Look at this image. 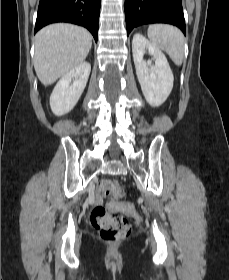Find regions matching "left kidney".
Here are the masks:
<instances>
[{"instance_id":"obj_1","label":"left kidney","mask_w":229,"mask_h":280,"mask_svg":"<svg viewBox=\"0 0 229 280\" xmlns=\"http://www.w3.org/2000/svg\"><path fill=\"white\" fill-rule=\"evenodd\" d=\"M146 50L155 59V65L143 59ZM132 52L136 75L146 101L153 107L162 105L171 93L174 81L165 55L140 33L133 36Z\"/></svg>"}]
</instances>
